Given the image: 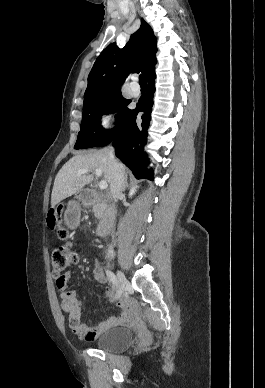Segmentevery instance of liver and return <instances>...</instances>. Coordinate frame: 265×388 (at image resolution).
I'll list each match as a JSON object with an SVG mask.
<instances>
[{
  "label": "liver",
  "instance_id": "1",
  "mask_svg": "<svg viewBox=\"0 0 265 388\" xmlns=\"http://www.w3.org/2000/svg\"><path fill=\"white\" fill-rule=\"evenodd\" d=\"M109 150H99V152H91V154H84V156H74L69 162L64 164L60 172H58L51 194V206L55 208L59 202L77 194L81 188L86 184H91L94 180L93 174L90 176H76L78 170H95L101 168L105 182L111 184L112 182V164L108 156ZM123 174L125 166L118 162Z\"/></svg>",
  "mask_w": 265,
  "mask_h": 388
}]
</instances>
